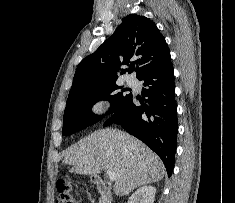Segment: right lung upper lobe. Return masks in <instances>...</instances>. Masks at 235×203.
<instances>
[{
	"mask_svg": "<svg viewBox=\"0 0 235 203\" xmlns=\"http://www.w3.org/2000/svg\"><path fill=\"white\" fill-rule=\"evenodd\" d=\"M170 60L165 38L155 23L145 16L130 14L110 38L79 63L69 94L87 86L116 80L123 64L130 63V68L122 69L121 74L136 71L139 79L145 72Z\"/></svg>",
	"mask_w": 235,
	"mask_h": 203,
	"instance_id": "cb5924a9",
	"label": "right lung upper lobe"
}]
</instances>
